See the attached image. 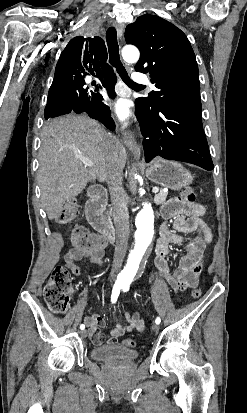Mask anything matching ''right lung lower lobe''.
<instances>
[{
  "mask_svg": "<svg viewBox=\"0 0 247 413\" xmlns=\"http://www.w3.org/2000/svg\"><path fill=\"white\" fill-rule=\"evenodd\" d=\"M101 84L107 89L111 98L116 96L114 86L117 81L116 75H109L99 78ZM65 82H72L77 85L76 91L69 96L49 99L45 108L44 116L46 119L57 117L60 115L75 113H88L91 118L99 120L108 129L114 130L115 123L111 118L109 107L106 106L100 94L88 92V87L85 88L84 77H74Z\"/></svg>",
  "mask_w": 247,
  "mask_h": 413,
  "instance_id": "obj_1",
  "label": "right lung lower lobe"
}]
</instances>
